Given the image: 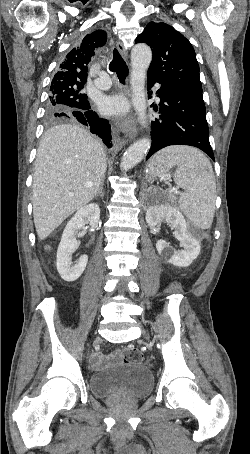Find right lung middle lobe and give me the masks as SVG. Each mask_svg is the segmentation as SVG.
<instances>
[{"instance_id":"1","label":"right lung middle lobe","mask_w":250,"mask_h":454,"mask_svg":"<svg viewBox=\"0 0 250 454\" xmlns=\"http://www.w3.org/2000/svg\"><path fill=\"white\" fill-rule=\"evenodd\" d=\"M84 85H51L46 106V119L49 122L63 119L59 114L70 113L74 109L88 105L87 95L82 94Z\"/></svg>"}]
</instances>
